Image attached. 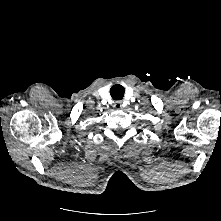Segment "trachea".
I'll return each mask as SVG.
<instances>
[{"mask_svg": "<svg viewBox=\"0 0 221 221\" xmlns=\"http://www.w3.org/2000/svg\"><path fill=\"white\" fill-rule=\"evenodd\" d=\"M125 90L120 84H115L110 88V95L115 100H122Z\"/></svg>", "mask_w": 221, "mask_h": 221, "instance_id": "3493384b", "label": "trachea"}]
</instances>
